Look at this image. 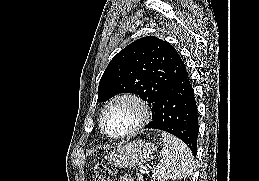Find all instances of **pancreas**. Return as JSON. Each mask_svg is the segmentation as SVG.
Instances as JSON below:
<instances>
[{
    "label": "pancreas",
    "instance_id": "1",
    "mask_svg": "<svg viewBox=\"0 0 259 181\" xmlns=\"http://www.w3.org/2000/svg\"><path fill=\"white\" fill-rule=\"evenodd\" d=\"M137 181H143L142 175L138 174V180Z\"/></svg>",
    "mask_w": 259,
    "mask_h": 181
}]
</instances>
